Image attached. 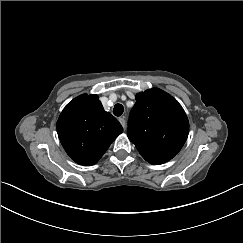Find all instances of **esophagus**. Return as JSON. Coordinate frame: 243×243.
<instances>
[{
  "label": "esophagus",
  "instance_id": "esophagus-1",
  "mask_svg": "<svg viewBox=\"0 0 243 243\" xmlns=\"http://www.w3.org/2000/svg\"><path fill=\"white\" fill-rule=\"evenodd\" d=\"M119 122L121 123L122 127L125 128V119L123 117L119 118Z\"/></svg>",
  "mask_w": 243,
  "mask_h": 243
}]
</instances>
